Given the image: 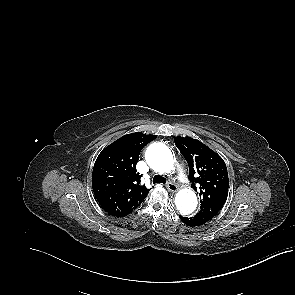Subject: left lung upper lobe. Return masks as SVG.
Listing matches in <instances>:
<instances>
[{
	"label": "left lung upper lobe",
	"mask_w": 295,
	"mask_h": 295,
	"mask_svg": "<svg viewBox=\"0 0 295 295\" xmlns=\"http://www.w3.org/2000/svg\"><path fill=\"white\" fill-rule=\"evenodd\" d=\"M174 140L188 163L191 187L199 191V212L217 214L228 196L229 178L225 162L198 140L190 137H176Z\"/></svg>",
	"instance_id": "1"
}]
</instances>
